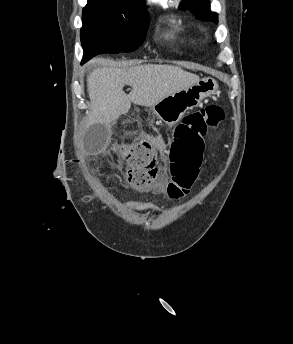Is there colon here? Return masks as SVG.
Here are the masks:
<instances>
[{"label": "colon", "mask_w": 293, "mask_h": 344, "mask_svg": "<svg viewBox=\"0 0 293 344\" xmlns=\"http://www.w3.org/2000/svg\"><path fill=\"white\" fill-rule=\"evenodd\" d=\"M223 118L224 111L218 105H209L185 116L176 127L171 142L173 173L170 179L161 183L152 174L155 152L152 140L142 138L122 145L117 162L125 171L129 187L138 192H147L158 185L161 192L171 199L187 194L201 167L204 138L210 130L217 128Z\"/></svg>", "instance_id": "5ec220e1"}]
</instances>
